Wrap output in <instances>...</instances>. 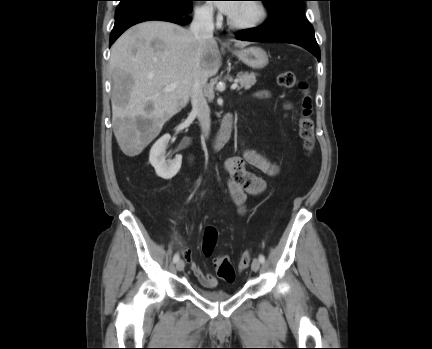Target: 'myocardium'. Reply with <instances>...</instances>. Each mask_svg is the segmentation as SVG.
<instances>
[{
    "label": "myocardium",
    "mask_w": 432,
    "mask_h": 349,
    "mask_svg": "<svg viewBox=\"0 0 432 349\" xmlns=\"http://www.w3.org/2000/svg\"><path fill=\"white\" fill-rule=\"evenodd\" d=\"M258 9V16L248 22H237L230 16L227 18L228 25L236 30H251L261 26L268 17V9L262 0H250Z\"/></svg>",
    "instance_id": "1"
}]
</instances>
